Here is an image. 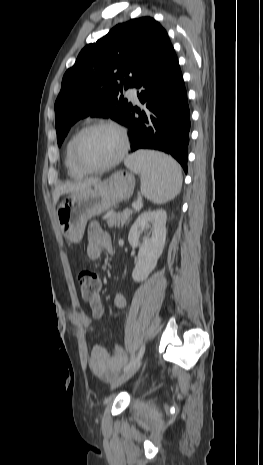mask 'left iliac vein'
I'll return each mask as SVG.
<instances>
[{"label": "left iliac vein", "mask_w": 263, "mask_h": 465, "mask_svg": "<svg viewBox=\"0 0 263 465\" xmlns=\"http://www.w3.org/2000/svg\"><path fill=\"white\" fill-rule=\"evenodd\" d=\"M142 364V359H139L135 364H133L127 371L124 372L118 379H116L112 385L111 389H115L129 380L140 368Z\"/></svg>", "instance_id": "4c4485c4"}]
</instances>
